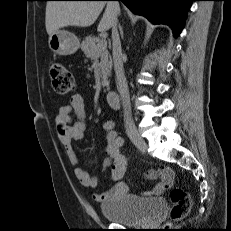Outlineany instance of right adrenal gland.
I'll list each match as a JSON object with an SVG mask.
<instances>
[{
    "mask_svg": "<svg viewBox=\"0 0 231 231\" xmlns=\"http://www.w3.org/2000/svg\"><path fill=\"white\" fill-rule=\"evenodd\" d=\"M119 30H120V34H121V36L123 37V29H122V27H121V25L119 24Z\"/></svg>",
    "mask_w": 231,
    "mask_h": 231,
    "instance_id": "right-adrenal-gland-1",
    "label": "right adrenal gland"
}]
</instances>
